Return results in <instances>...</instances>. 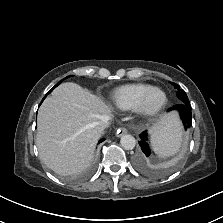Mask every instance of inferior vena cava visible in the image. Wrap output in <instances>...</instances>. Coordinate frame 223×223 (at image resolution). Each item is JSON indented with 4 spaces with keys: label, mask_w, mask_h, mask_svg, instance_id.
<instances>
[{
    "label": "inferior vena cava",
    "mask_w": 223,
    "mask_h": 223,
    "mask_svg": "<svg viewBox=\"0 0 223 223\" xmlns=\"http://www.w3.org/2000/svg\"><path fill=\"white\" fill-rule=\"evenodd\" d=\"M109 126H110V119L108 117H106L96 123V129L100 134H102L103 131L106 128H108Z\"/></svg>",
    "instance_id": "obj_1"
}]
</instances>
